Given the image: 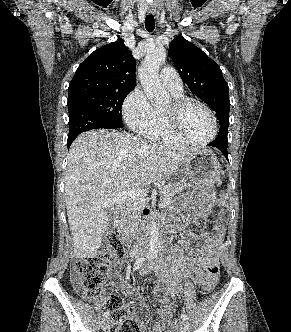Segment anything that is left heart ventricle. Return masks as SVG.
Segmentation results:
<instances>
[{
	"instance_id": "obj_1",
	"label": "left heart ventricle",
	"mask_w": 291,
	"mask_h": 332,
	"mask_svg": "<svg viewBox=\"0 0 291 332\" xmlns=\"http://www.w3.org/2000/svg\"><path fill=\"white\" fill-rule=\"evenodd\" d=\"M169 103L166 107L170 106ZM183 130L192 138L204 140L212 134V121L208 113L199 105L187 106L181 115Z\"/></svg>"
}]
</instances>
